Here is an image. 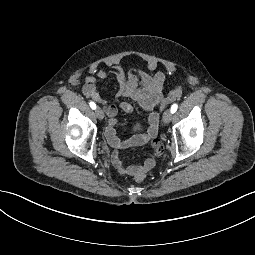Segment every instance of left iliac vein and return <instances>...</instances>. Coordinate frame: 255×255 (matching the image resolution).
<instances>
[{
	"instance_id": "left-iliac-vein-1",
	"label": "left iliac vein",
	"mask_w": 255,
	"mask_h": 255,
	"mask_svg": "<svg viewBox=\"0 0 255 255\" xmlns=\"http://www.w3.org/2000/svg\"><path fill=\"white\" fill-rule=\"evenodd\" d=\"M172 119V112L170 110H166L163 114V122L168 124Z\"/></svg>"
}]
</instances>
